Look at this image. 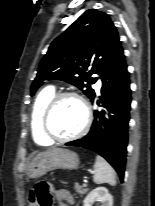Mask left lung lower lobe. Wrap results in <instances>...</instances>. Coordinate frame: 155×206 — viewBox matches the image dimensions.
Segmentation results:
<instances>
[{"label": "left lung lower lobe", "mask_w": 155, "mask_h": 206, "mask_svg": "<svg viewBox=\"0 0 155 206\" xmlns=\"http://www.w3.org/2000/svg\"><path fill=\"white\" fill-rule=\"evenodd\" d=\"M101 94L99 98L94 95L91 102L102 104L109 113L96 111L89 133L66 145L97 152L113 166L123 182L131 104L129 72L123 51L104 73Z\"/></svg>", "instance_id": "0a47b994"}]
</instances>
